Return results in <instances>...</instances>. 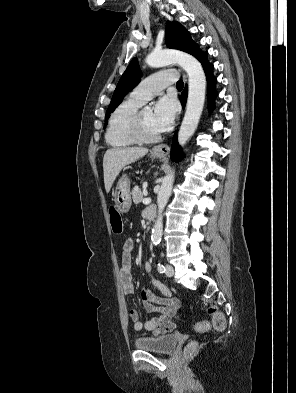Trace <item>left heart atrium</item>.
<instances>
[{
    "label": "left heart atrium",
    "instance_id": "39dd6f15",
    "mask_svg": "<svg viewBox=\"0 0 296 393\" xmlns=\"http://www.w3.org/2000/svg\"><path fill=\"white\" fill-rule=\"evenodd\" d=\"M177 112L176 101L171 97L160 98L152 113V126L158 132H164L173 123Z\"/></svg>",
    "mask_w": 296,
    "mask_h": 393
}]
</instances>
